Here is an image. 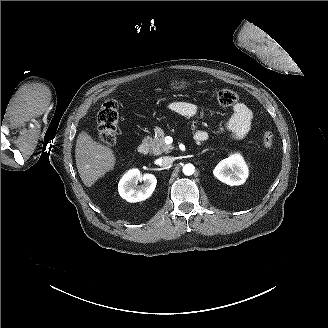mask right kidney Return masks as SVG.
<instances>
[{"mask_svg": "<svg viewBox=\"0 0 328 328\" xmlns=\"http://www.w3.org/2000/svg\"><path fill=\"white\" fill-rule=\"evenodd\" d=\"M143 180L144 184L138 186L137 182ZM156 177L153 174L142 175L136 168L128 170L120 179L118 192L128 202H139L151 196L156 187Z\"/></svg>", "mask_w": 328, "mask_h": 328, "instance_id": "obj_1", "label": "right kidney"}]
</instances>
